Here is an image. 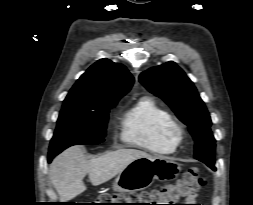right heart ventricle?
<instances>
[{
    "instance_id": "right-heart-ventricle-1",
    "label": "right heart ventricle",
    "mask_w": 253,
    "mask_h": 205,
    "mask_svg": "<svg viewBox=\"0 0 253 205\" xmlns=\"http://www.w3.org/2000/svg\"><path fill=\"white\" fill-rule=\"evenodd\" d=\"M173 122L167 109L154 99L143 97L122 115L120 137L128 145L153 153H171L178 145L167 137Z\"/></svg>"
}]
</instances>
